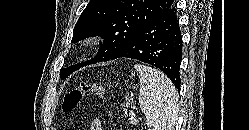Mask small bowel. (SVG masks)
I'll use <instances>...</instances> for the list:
<instances>
[{"label":"small bowel","mask_w":249,"mask_h":130,"mask_svg":"<svg viewBox=\"0 0 249 130\" xmlns=\"http://www.w3.org/2000/svg\"><path fill=\"white\" fill-rule=\"evenodd\" d=\"M90 130H103L100 120L93 121Z\"/></svg>","instance_id":"obj_1"}]
</instances>
